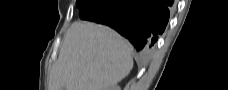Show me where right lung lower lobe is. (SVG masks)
<instances>
[{"mask_svg": "<svg viewBox=\"0 0 228 90\" xmlns=\"http://www.w3.org/2000/svg\"><path fill=\"white\" fill-rule=\"evenodd\" d=\"M172 5V0H103L80 18L115 29L145 58L165 30Z\"/></svg>", "mask_w": 228, "mask_h": 90, "instance_id": "1", "label": "right lung lower lobe"}]
</instances>
